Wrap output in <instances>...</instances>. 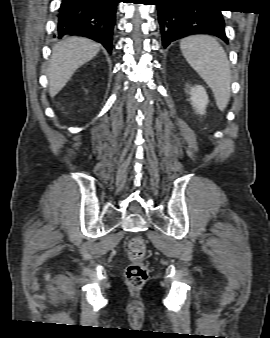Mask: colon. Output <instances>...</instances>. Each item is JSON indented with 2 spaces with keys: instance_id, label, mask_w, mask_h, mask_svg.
<instances>
[{
  "instance_id": "colon-1",
  "label": "colon",
  "mask_w": 270,
  "mask_h": 338,
  "mask_svg": "<svg viewBox=\"0 0 270 338\" xmlns=\"http://www.w3.org/2000/svg\"><path fill=\"white\" fill-rule=\"evenodd\" d=\"M128 264L125 269L126 284L135 289L144 286L148 279V268L145 264L146 243L142 237L130 239L127 247Z\"/></svg>"
}]
</instances>
